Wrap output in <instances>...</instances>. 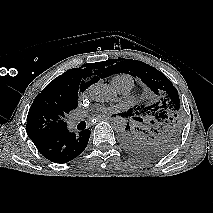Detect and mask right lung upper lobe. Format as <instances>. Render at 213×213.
I'll return each mask as SVG.
<instances>
[{
  "label": "right lung upper lobe",
  "mask_w": 213,
  "mask_h": 213,
  "mask_svg": "<svg viewBox=\"0 0 213 213\" xmlns=\"http://www.w3.org/2000/svg\"><path fill=\"white\" fill-rule=\"evenodd\" d=\"M97 69L98 63H88L79 68H73L64 72L50 82L42 92L36 96L29 113L42 102L57 99L77 102L78 93L85 91L91 84L97 82L100 78L106 77L103 72ZM66 126L67 125H64L59 131L66 129ZM26 129L29 138H33L34 135L31 133L32 131L28 128Z\"/></svg>",
  "instance_id": "1"
}]
</instances>
